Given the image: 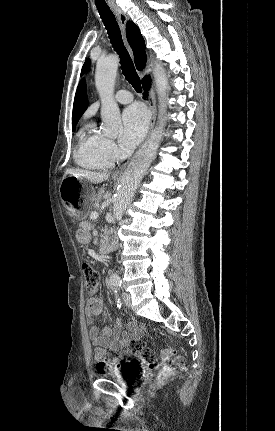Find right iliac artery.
Instances as JSON below:
<instances>
[{"instance_id":"obj_1","label":"right iliac artery","mask_w":275,"mask_h":431,"mask_svg":"<svg viewBox=\"0 0 275 431\" xmlns=\"http://www.w3.org/2000/svg\"><path fill=\"white\" fill-rule=\"evenodd\" d=\"M117 287L118 286H116V288H115L116 293H117V289H118ZM116 299H117V306L120 307V305H121L120 298L116 297Z\"/></svg>"}]
</instances>
